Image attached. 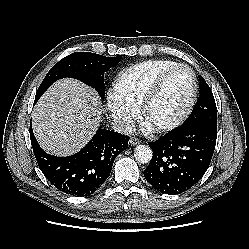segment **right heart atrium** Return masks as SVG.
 Returning <instances> with one entry per match:
<instances>
[{
    "label": "right heart atrium",
    "mask_w": 249,
    "mask_h": 249,
    "mask_svg": "<svg viewBox=\"0 0 249 249\" xmlns=\"http://www.w3.org/2000/svg\"><path fill=\"white\" fill-rule=\"evenodd\" d=\"M107 108L115 124L122 131H129L136 119L137 111L121 102L114 95H110L107 100Z\"/></svg>",
    "instance_id": "right-heart-atrium-1"
}]
</instances>
